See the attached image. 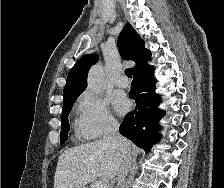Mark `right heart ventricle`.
Returning a JSON list of instances; mask_svg holds the SVG:
<instances>
[{
    "mask_svg": "<svg viewBox=\"0 0 224 188\" xmlns=\"http://www.w3.org/2000/svg\"><path fill=\"white\" fill-rule=\"evenodd\" d=\"M75 128H76V131L79 133V134H82L86 137V135L84 134L79 122L75 124Z\"/></svg>",
    "mask_w": 224,
    "mask_h": 188,
    "instance_id": "1",
    "label": "right heart ventricle"
}]
</instances>
